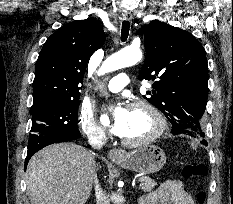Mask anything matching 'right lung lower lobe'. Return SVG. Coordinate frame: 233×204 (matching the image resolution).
I'll use <instances>...</instances> for the list:
<instances>
[{"instance_id":"1","label":"right lung lower lobe","mask_w":233,"mask_h":204,"mask_svg":"<svg viewBox=\"0 0 233 204\" xmlns=\"http://www.w3.org/2000/svg\"><path fill=\"white\" fill-rule=\"evenodd\" d=\"M76 139H78L77 136H76V137H64V138H59V139L53 141V142L50 143V144L59 143V142H67V141H72V140H76ZM36 152H37V151H28V152H27V157H26V159H25V168L27 167L28 161L30 160V158L32 157V155H33L34 153H36Z\"/></svg>"}]
</instances>
